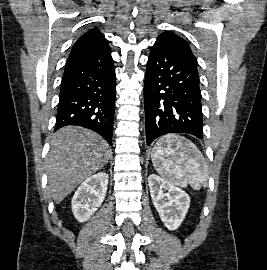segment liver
I'll list each match as a JSON object with an SVG mask.
<instances>
[{"label":"liver","mask_w":267,"mask_h":270,"mask_svg":"<svg viewBox=\"0 0 267 270\" xmlns=\"http://www.w3.org/2000/svg\"><path fill=\"white\" fill-rule=\"evenodd\" d=\"M110 153L108 143L95 132L76 126L58 130L46 163L53 200L61 203L83 180L108 163Z\"/></svg>","instance_id":"1"}]
</instances>
